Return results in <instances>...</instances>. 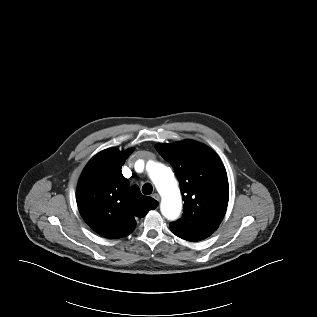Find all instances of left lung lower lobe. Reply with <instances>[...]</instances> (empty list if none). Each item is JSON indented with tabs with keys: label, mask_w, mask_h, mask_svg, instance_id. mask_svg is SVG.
Here are the masks:
<instances>
[{
	"label": "left lung lower lobe",
	"mask_w": 317,
	"mask_h": 317,
	"mask_svg": "<svg viewBox=\"0 0 317 317\" xmlns=\"http://www.w3.org/2000/svg\"><path fill=\"white\" fill-rule=\"evenodd\" d=\"M219 225L209 224V223H198L184 225L181 229L170 227L171 231L178 237L196 242L203 240L210 236Z\"/></svg>",
	"instance_id": "left-lung-lower-lobe-1"
}]
</instances>
